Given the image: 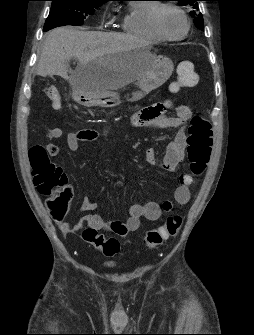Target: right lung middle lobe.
<instances>
[{
	"mask_svg": "<svg viewBox=\"0 0 254 335\" xmlns=\"http://www.w3.org/2000/svg\"><path fill=\"white\" fill-rule=\"evenodd\" d=\"M49 16L44 31L63 25L80 26L88 15L106 1L101 0H51Z\"/></svg>",
	"mask_w": 254,
	"mask_h": 335,
	"instance_id": "right-lung-middle-lobe-1",
	"label": "right lung middle lobe"
}]
</instances>
